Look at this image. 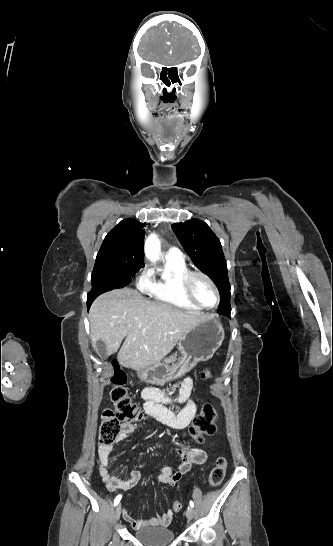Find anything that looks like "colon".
Returning <instances> with one entry per match:
<instances>
[{
	"mask_svg": "<svg viewBox=\"0 0 333 546\" xmlns=\"http://www.w3.org/2000/svg\"><path fill=\"white\" fill-rule=\"evenodd\" d=\"M203 380L211 378V371L204 369L201 373ZM126 373L118 363L113 364V375L111 378L113 388L111 398L114 408L106 409L102 414V422L99 430V442L103 445H110L115 442L121 432V426L125 423H134L144 419V412L138 404L129 396L125 387ZM217 419V412L210 403H205L200 412L194 417L192 425L189 428V436L199 444L205 441L207 436L214 434ZM227 461L224 457H219L212 468L208 484L211 487L220 485L225 477ZM182 509L180 501H174L172 510L179 512Z\"/></svg>",
	"mask_w": 333,
	"mask_h": 546,
	"instance_id": "1",
	"label": "colon"
}]
</instances>
